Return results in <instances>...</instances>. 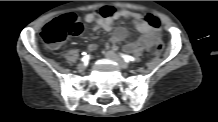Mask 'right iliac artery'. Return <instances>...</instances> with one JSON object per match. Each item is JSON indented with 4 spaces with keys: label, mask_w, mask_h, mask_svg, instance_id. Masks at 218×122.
I'll use <instances>...</instances> for the list:
<instances>
[{
    "label": "right iliac artery",
    "mask_w": 218,
    "mask_h": 122,
    "mask_svg": "<svg viewBox=\"0 0 218 122\" xmlns=\"http://www.w3.org/2000/svg\"><path fill=\"white\" fill-rule=\"evenodd\" d=\"M90 56L86 53H84L83 58L81 59L83 62H87L89 60Z\"/></svg>",
    "instance_id": "obj_1"
}]
</instances>
